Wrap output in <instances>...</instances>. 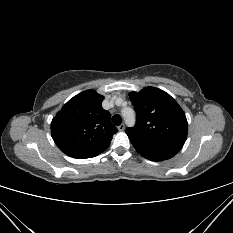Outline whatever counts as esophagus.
Masks as SVG:
<instances>
[{
  "mask_svg": "<svg viewBox=\"0 0 233 233\" xmlns=\"http://www.w3.org/2000/svg\"><path fill=\"white\" fill-rule=\"evenodd\" d=\"M124 129H125V125L124 124H121V125L118 126V130L119 131H124Z\"/></svg>",
  "mask_w": 233,
  "mask_h": 233,
  "instance_id": "obj_1",
  "label": "esophagus"
}]
</instances>
